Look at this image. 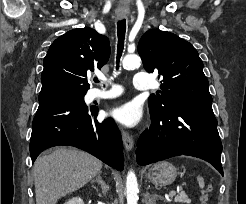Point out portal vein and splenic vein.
I'll return each mask as SVG.
<instances>
[{
	"mask_svg": "<svg viewBox=\"0 0 246 204\" xmlns=\"http://www.w3.org/2000/svg\"><path fill=\"white\" fill-rule=\"evenodd\" d=\"M169 195H170L171 197H173V196L176 195V192H175V191H171V192L169 193Z\"/></svg>",
	"mask_w": 246,
	"mask_h": 204,
	"instance_id": "obj_1",
	"label": "portal vein and splenic vein"
}]
</instances>
